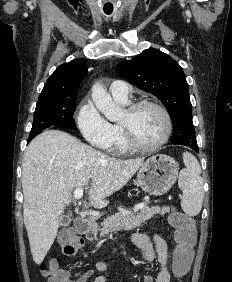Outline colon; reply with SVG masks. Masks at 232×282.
Instances as JSON below:
<instances>
[{"instance_id":"obj_1","label":"colon","mask_w":232,"mask_h":282,"mask_svg":"<svg viewBox=\"0 0 232 282\" xmlns=\"http://www.w3.org/2000/svg\"><path fill=\"white\" fill-rule=\"evenodd\" d=\"M169 222L174 228L175 247L173 250L172 269L175 276L184 277L192 260V248L196 242V229L194 221L188 215L173 210L169 216ZM62 252L66 256L74 255L82 246V240L70 230H64L60 237ZM41 274L47 275L56 282H71L63 277L54 260L40 264Z\"/></svg>"}]
</instances>
